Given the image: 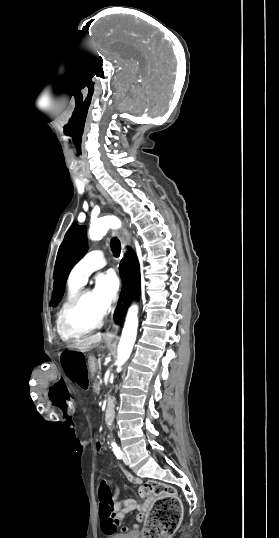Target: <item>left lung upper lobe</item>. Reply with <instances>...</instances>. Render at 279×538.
Masks as SVG:
<instances>
[{
    "label": "left lung upper lobe",
    "mask_w": 279,
    "mask_h": 538,
    "mask_svg": "<svg viewBox=\"0 0 279 538\" xmlns=\"http://www.w3.org/2000/svg\"><path fill=\"white\" fill-rule=\"evenodd\" d=\"M88 249L86 227L74 222L62 242L55 264L53 300L50 306L61 301L65 283L73 266L86 254Z\"/></svg>",
    "instance_id": "5c2ea615"
}]
</instances>
